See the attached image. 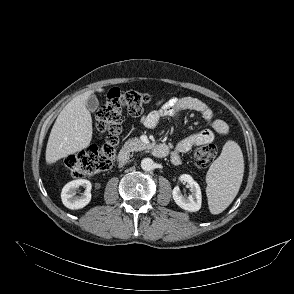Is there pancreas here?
Here are the masks:
<instances>
[{
  "instance_id": "pancreas-1",
  "label": "pancreas",
  "mask_w": 294,
  "mask_h": 294,
  "mask_svg": "<svg viewBox=\"0 0 294 294\" xmlns=\"http://www.w3.org/2000/svg\"><path fill=\"white\" fill-rule=\"evenodd\" d=\"M148 146H149L148 144L142 142L140 139L133 138L125 142L124 149L130 152H133V151L145 150L146 148H148Z\"/></svg>"
}]
</instances>
